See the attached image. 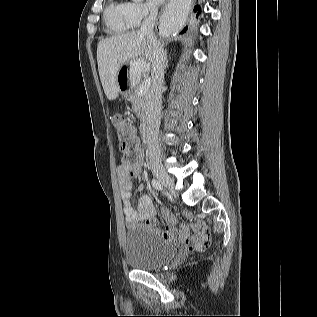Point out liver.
I'll list each match as a JSON object with an SVG mask.
<instances>
[{
	"instance_id": "1",
	"label": "liver",
	"mask_w": 317,
	"mask_h": 317,
	"mask_svg": "<svg viewBox=\"0 0 317 317\" xmlns=\"http://www.w3.org/2000/svg\"><path fill=\"white\" fill-rule=\"evenodd\" d=\"M135 61L137 67L141 62L146 67L141 71H149L152 63V44L145 35L138 31L119 34L101 40L97 45V63L104 93L109 100L118 97L119 85L117 74L120 68ZM149 60L150 63L146 62ZM140 77V76H139Z\"/></svg>"
}]
</instances>
